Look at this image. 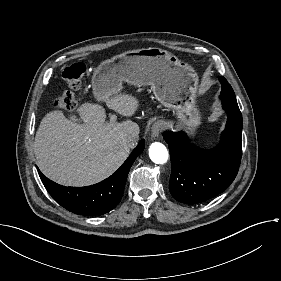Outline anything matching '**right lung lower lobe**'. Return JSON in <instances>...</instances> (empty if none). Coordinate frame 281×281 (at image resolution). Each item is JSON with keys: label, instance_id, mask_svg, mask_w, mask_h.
I'll list each match as a JSON object with an SVG mask.
<instances>
[{"label": "right lung lower lobe", "instance_id": "98d812e1", "mask_svg": "<svg viewBox=\"0 0 281 281\" xmlns=\"http://www.w3.org/2000/svg\"><path fill=\"white\" fill-rule=\"evenodd\" d=\"M141 140L122 166L109 178L86 187H65L45 177L38 169L43 185L53 199L68 211L80 215H103L111 211L122 198L128 172L144 149Z\"/></svg>", "mask_w": 281, "mask_h": 281}]
</instances>
